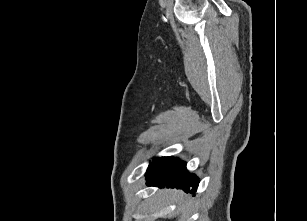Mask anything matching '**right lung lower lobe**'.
<instances>
[{
	"label": "right lung lower lobe",
	"mask_w": 307,
	"mask_h": 221,
	"mask_svg": "<svg viewBox=\"0 0 307 221\" xmlns=\"http://www.w3.org/2000/svg\"><path fill=\"white\" fill-rule=\"evenodd\" d=\"M146 177L149 185L176 187L190 193H195L199 183L195 175L188 173L186 163L173 157L155 158L147 169Z\"/></svg>",
	"instance_id": "98d812e1"
}]
</instances>
